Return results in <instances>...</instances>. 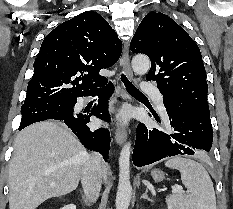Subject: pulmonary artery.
<instances>
[{"instance_id": "pulmonary-artery-1", "label": "pulmonary artery", "mask_w": 233, "mask_h": 209, "mask_svg": "<svg viewBox=\"0 0 233 209\" xmlns=\"http://www.w3.org/2000/svg\"><path fill=\"white\" fill-rule=\"evenodd\" d=\"M141 90L142 92L147 93L153 97L154 102L157 105V107L160 109L162 115L164 117H167L164 104H163V96L161 95L159 90L149 82L144 83L141 87Z\"/></svg>"}]
</instances>
